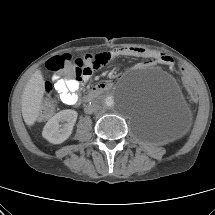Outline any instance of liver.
Returning <instances> with one entry per match:
<instances>
[{"instance_id": "obj_1", "label": "liver", "mask_w": 215, "mask_h": 215, "mask_svg": "<svg viewBox=\"0 0 215 215\" xmlns=\"http://www.w3.org/2000/svg\"><path fill=\"white\" fill-rule=\"evenodd\" d=\"M45 94V81L40 70H36L22 94V116L28 126H32L40 113L43 96Z\"/></svg>"}]
</instances>
